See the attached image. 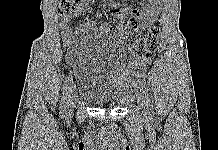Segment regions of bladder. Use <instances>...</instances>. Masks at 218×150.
Returning <instances> with one entry per match:
<instances>
[{"label":"bladder","mask_w":218,"mask_h":150,"mask_svg":"<svg viewBox=\"0 0 218 150\" xmlns=\"http://www.w3.org/2000/svg\"><path fill=\"white\" fill-rule=\"evenodd\" d=\"M75 73L80 95L100 106L121 101L134 84V75L122 65L118 43L109 34L85 35L78 47Z\"/></svg>","instance_id":"bladder-1"}]
</instances>
